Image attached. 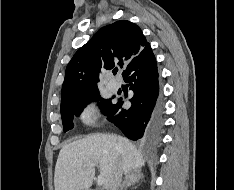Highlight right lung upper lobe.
<instances>
[{"instance_id":"1","label":"right lung upper lobe","mask_w":234,"mask_h":190,"mask_svg":"<svg viewBox=\"0 0 234 190\" xmlns=\"http://www.w3.org/2000/svg\"><path fill=\"white\" fill-rule=\"evenodd\" d=\"M149 46L141 29L127 20L116 21L101 28L68 63L61 104L98 90L101 67L109 70L115 63L122 67L124 62H131Z\"/></svg>"}]
</instances>
